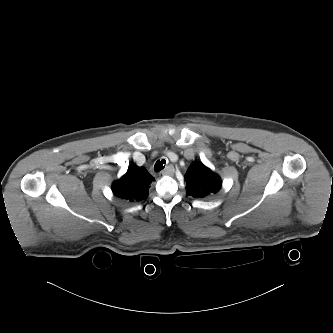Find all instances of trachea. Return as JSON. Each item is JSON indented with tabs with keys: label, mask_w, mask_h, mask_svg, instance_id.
<instances>
[{
	"label": "trachea",
	"mask_w": 333,
	"mask_h": 333,
	"mask_svg": "<svg viewBox=\"0 0 333 333\" xmlns=\"http://www.w3.org/2000/svg\"><path fill=\"white\" fill-rule=\"evenodd\" d=\"M166 164V160L165 159H162L161 161L158 160L155 165H154V171L155 172H160L161 170L164 169V165Z\"/></svg>",
	"instance_id": "1"
}]
</instances>
